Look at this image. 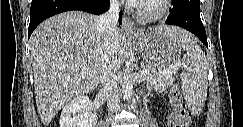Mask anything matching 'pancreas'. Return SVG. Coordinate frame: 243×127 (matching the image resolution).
I'll return each mask as SVG.
<instances>
[{
    "instance_id": "1",
    "label": "pancreas",
    "mask_w": 243,
    "mask_h": 127,
    "mask_svg": "<svg viewBox=\"0 0 243 127\" xmlns=\"http://www.w3.org/2000/svg\"><path fill=\"white\" fill-rule=\"evenodd\" d=\"M145 68L148 70L146 78L155 90H165L174 82V78L171 75L157 71L148 65Z\"/></svg>"
}]
</instances>
